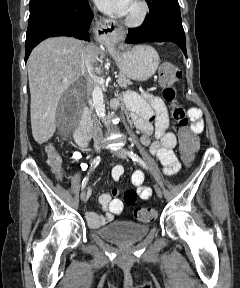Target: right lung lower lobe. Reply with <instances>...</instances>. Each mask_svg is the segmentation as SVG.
<instances>
[{"instance_id": "98d812e1", "label": "right lung lower lobe", "mask_w": 240, "mask_h": 288, "mask_svg": "<svg viewBox=\"0 0 240 288\" xmlns=\"http://www.w3.org/2000/svg\"><path fill=\"white\" fill-rule=\"evenodd\" d=\"M93 18L88 0L47 5L30 15L26 35L25 62L42 40L55 36H74L90 41L87 33Z\"/></svg>"}]
</instances>
